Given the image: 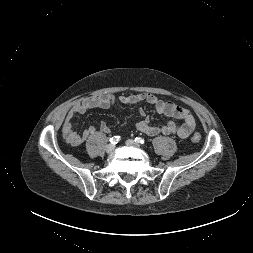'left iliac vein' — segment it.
Returning <instances> with one entry per match:
<instances>
[{"label": "left iliac vein", "mask_w": 253, "mask_h": 253, "mask_svg": "<svg viewBox=\"0 0 253 253\" xmlns=\"http://www.w3.org/2000/svg\"><path fill=\"white\" fill-rule=\"evenodd\" d=\"M125 143L128 147H134V148L140 147L138 143H136L135 141H133L131 139L127 140Z\"/></svg>", "instance_id": "obj_1"}]
</instances>
